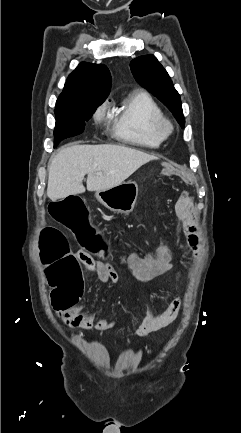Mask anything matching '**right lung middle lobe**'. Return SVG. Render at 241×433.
Here are the masks:
<instances>
[{"mask_svg":"<svg viewBox=\"0 0 241 433\" xmlns=\"http://www.w3.org/2000/svg\"><path fill=\"white\" fill-rule=\"evenodd\" d=\"M102 102L103 101H81L56 103L54 147L65 138L81 134L84 131L85 122L89 120Z\"/></svg>","mask_w":241,"mask_h":433,"instance_id":"dd1d6c3e","label":"right lung middle lobe"}]
</instances>
